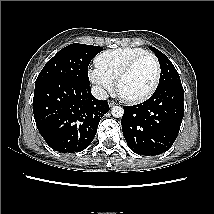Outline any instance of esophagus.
I'll return each mask as SVG.
<instances>
[{"label": "esophagus", "instance_id": "1", "mask_svg": "<svg viewBox=\"0 0 214 214\" xmlns=\"http://www.w3.org/2000/svg\"><path fill=\"white\" fill-rule=\"evenodd\" d=\"M115 104H116L115 102L109 101V106H110V107L114 106Z\"/></svg>", "mask_w": 214, "mask_h": 214}]
</instances>
